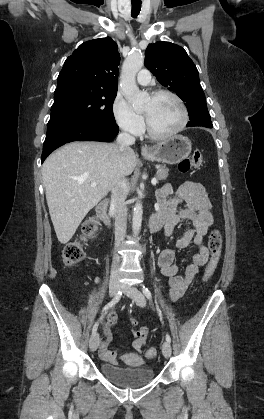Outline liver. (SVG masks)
<instances>
[{
    "instance_id": "1",
    "label": "liver",
    "mask_w": 264,
    "mask_h": 419,
    "mask_svg": "<svg viewBox=\"0 0 264 419\" xmlns=\"http://www.w3.org/2000/svg\"><path fill=\"white\" fill-rule=\"evenodd\" d=\"M136 163L130 147L120 152L117 144L101 142H71L45 160L43 184L60 243L71 240L87 213L122 176L132 174Z\"/></svg>"
}]
</instances>
